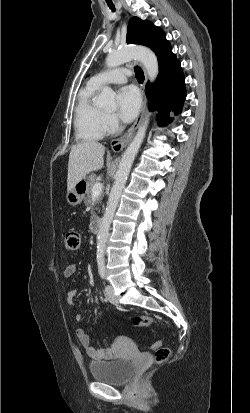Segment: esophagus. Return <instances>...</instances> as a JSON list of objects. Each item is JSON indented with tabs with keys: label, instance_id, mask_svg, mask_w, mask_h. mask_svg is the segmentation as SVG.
Listing matches in <instances>:
<instances>
[{
	"label": "esophagus",
	"instance_id": "obj_1",
	"mask_svg": "<svg viewBox=\"0 0 250 413\" xmlns=\"http://www.w3.org/2000/svg\"><path fill=\"white\" fill-rule=\"evenodd\" d=\"M145 106H146V99H143V103H142V108H141V112L140 115L136 118L135 122L133 123V125L129 128V130L125 133V135L122 138L119 139H114L111 142V149L114 152H120L121 150H123V148L130 142L131 138L133 137L136 129L138 128V126L141 123L142 117H143V113L145 110Z\"/></svg>",
	"mask_w": 250,
	"mask_h": 413
}]
</instances>
